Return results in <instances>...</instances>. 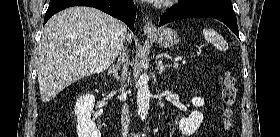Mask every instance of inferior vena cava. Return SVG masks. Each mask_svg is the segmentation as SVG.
Returning <instances> with one entry per match:
<instances>
[{"mask_svg":"<svg viewBox=\"0 0 280 137\" xmlns=\"http://www.w3.org/2000/svg\"><path fill=\"white\" fill-rule=\"evenodd\" d=\"M124 55H123V59H122V64H123V67H122V81L124 82L125 78H124V75L126 74L127 72V62H128V59H127V56H126V53H125V50L124 48L122 47L121 50ZM126 99V96L124 95L123 96V100ZM129 108L127 105H124L123 108H122V112H121V126H122V134L124 137H127L128 135V127H129Z\"/></svg>","mask_w":280,"mask_h":137,"instance_id":"inferior-vena-cava-1","label":"inferior vena cava"}]
</instances>
